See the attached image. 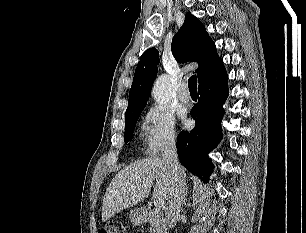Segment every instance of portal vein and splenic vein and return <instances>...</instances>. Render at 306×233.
I'll use <instances>...</instances> for the list:
<instances>
[{
    "mask_svg": "<svg viewBox=\"0 0 306 233\" xmlns=\"http://www.w3.org/2000/svg\"><path fill=\"white\" fill-rule=\"evenodd\" d=\"M154 205L156 208H162L164 206V200L162 198H157L154 201Z\"/></svg>",
    "mask_w": 306,
    "mask_h": 233,
    "instance_id": "1",
    "label": "portal vein and splenic vein"
}]
</instances>
